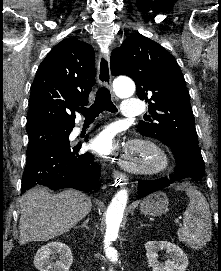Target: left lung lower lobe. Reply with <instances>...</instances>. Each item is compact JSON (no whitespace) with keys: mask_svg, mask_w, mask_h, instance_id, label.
Masks as SVG:
<instances>
[{"mask_svg":"<svg viewBox=\"0 0 221 271\" xmlns=\"http://www.w3.org/2000/svg\"><path fill=\"white\" fill-rule=\"evenodd\" d=\"M173 151L176 167L175 173L169 178L157 180H141L138 184L137 198H142L152 192L168 187L176 180L191 177L195 181L202 178L204 173V162L188 150L178 145H167Z\"/></svg>","mask_w":221,"mask_h":271,"instance_id":"1","label":"left lung lower lobe"}]
</instances>
